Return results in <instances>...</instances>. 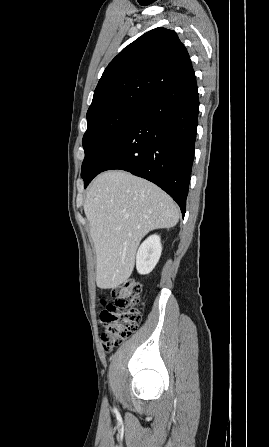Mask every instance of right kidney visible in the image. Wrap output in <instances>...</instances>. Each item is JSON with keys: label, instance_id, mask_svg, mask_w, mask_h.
Listing matches in <instances>:
<instances>
[{"label": "right kidney", "instance_id": "obj_1", "mask_svg": "<svg viewBox=\"0 0 269 447\" xmlns=\"http://www.w3.org/2000/svg\"><path fill=\"white\" fill-rule=\"evenodd\" d=\"M162 243L160 235H149L142 241L136 255V267L138 273H150L160 259Z\"/></svg>", "mask_w": 269, "mask_h": 447}]
</instances>
